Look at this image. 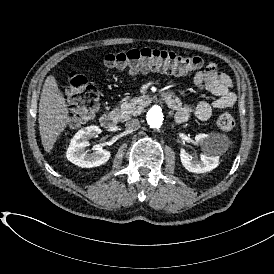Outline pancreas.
<instances>
[{"label":"pancreas","mask_w":274,"mask_h":274,"mask_svg":"<svg viewBox=\"0 0 274 274\" xmlns=\"http://www.w3.org/2000/svg\"><path fill=\"white\" fill-rule=\"evenodd\" d=\"M136 99H131L128 102H124L119 108L113 109L115 116L119 121H126L131 116H138L142 112V108L135 103Z\"/></svg>","instance_id":"pancreas-1"}]
</instances>
